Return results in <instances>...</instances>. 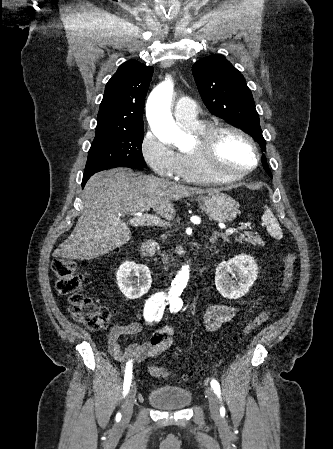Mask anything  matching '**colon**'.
Segmentation results:
<instances>
[{
  "mask_svg": "<svg viewBox=\"0 0 333 449\" xmlns=\"http://www.w3.org/2000/svg\"><path fill=\"white\" fill-rule=\"evenodd\" d=\"M284 282L280 297L285 295L294 280L296 256L286 252L282 257ZM51 269L57 278L56 289L63 295H70V311L72 317L85 324L89 329L98 331L109 326L111 312L106 305L98 304L95 299L83 289L82 276L77 272L76 264L69 259L57 257L53 259ZM271 309L265 308L248 318L243 325V335L247 336L259 328L269 317ZM151 375L166 377L168 372L157 365L150 367Z\"/></svg>",
  "mask_w": 333,
  "mask_h": 449,
  "instance_id": "1",
  "label": "colon"
}]
</instances>
